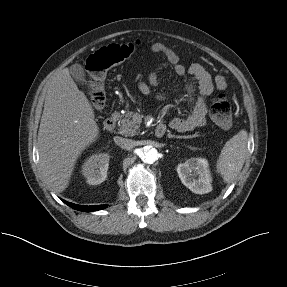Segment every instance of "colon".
Returning a JSON list of instances; mask_svg holds the SVG:
<instances>
[{
	"label": "colon",
	"instance_id": "5ec220e1",
	"mask_svg": "<svg viewBox=\"0 0 287 287\" xmlns=\"http://www.w3.org/2000/svg\"><path fill=\"white\" fill-rule=\"evenodd\" d=\"M137 43L109 44L104 46L86 60L87 89L90 100L95 108L105 103L104 79L107 71L128 59L136 50ZM212 120L222 128L232 124L230 103L223 94H218L210 106Z\"/></svg>",
	"mask_w": 287,
	"mask_h": 287
}]
</instances>
